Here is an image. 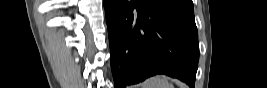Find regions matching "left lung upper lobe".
<instances>
[{
  "label": "left lung upper lobe",
  "mask_w": 267,
  "mask_h": 88,
  "mask_svg": "<svg viewBox=\"0 0 267 88\" xmlns=\"http://www.w3.org/2000/svg\"><path fill=\"white\" fill-rule=\"evenodd\" d=\"M176 1H178V2H180V3H183V4H185V5H188V6L193 7V2H192V0H176Z\"/></svg>",
  "instance_id": "left-lung-upper-lobe-1"
}]
</instances>
